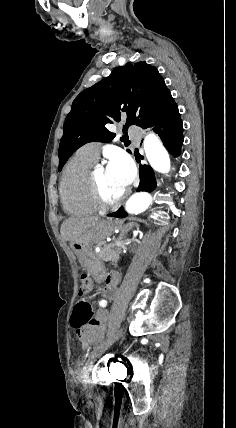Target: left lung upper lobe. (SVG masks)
<instances>
[{"label":"left lung upper lobe","instance_id":"1","mask_svg":"<svg viewBox=\"0 0 236 428\" xmlns=\"http://www.w3.org/2000/svg\"><path fill=\"white\" fill-rule=\"evenodd\" d=\"M171 101V93L155 67L138 62L115 68L73 101L59 145V171L82 145L111 142L115 134L106 126L119 122L121 114L127 115L124 130L133 124L143 127ZM121 141L126 145L125 136Z\"/></svg>","mask_w":236,"mask_h":428}]
</instances>
